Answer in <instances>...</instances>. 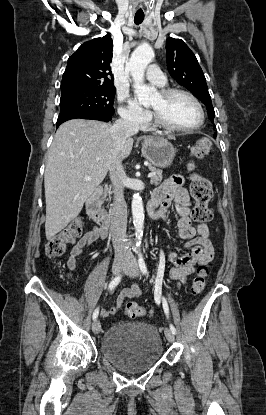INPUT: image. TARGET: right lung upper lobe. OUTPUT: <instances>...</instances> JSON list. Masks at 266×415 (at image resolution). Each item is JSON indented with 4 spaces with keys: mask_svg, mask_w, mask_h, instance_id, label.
Here are the masks:
<instances>
[{
    "mask_svg": "<svg viewBox=\"0 0 266 415\" xmlns=\"http://www.w3.org/2000/svg\"><path fill=\"white\" fill-rule=\"evenodd\" d=\"M110 35L83 43L69 57L61 82V92L86 87H114L110 61Z\"/></svg>",
    "mask_w": 266,
    "mask_h": 415,
    "instance_id": "obj_1",
    "label": "right lung upper lobe"
}]
</instances>
